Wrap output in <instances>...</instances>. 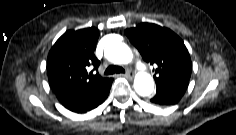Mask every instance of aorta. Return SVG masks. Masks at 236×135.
<instances>
[{"label":"aorta","instance_id":"762f6f07","mask_svg":"<svg viewBox=\"0 0 236 135\" xmlns=\"http://www.w3.org/2000/svg\"><path fill=\"white\" fill-rule=\"evenodd\" d=\"M106 58L116 64H128L133 59L131 49L122 42H111L105 48ZM134 89L140 96H150L154 90V81L150 74L139 72L134 78Z\"/></svg>","mask_w":236,"mask_h":135}]
</instances>
